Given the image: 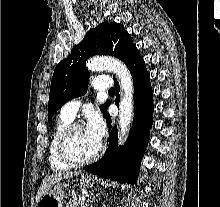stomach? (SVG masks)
<instances>
[{
  "label": "stomach",
  "instance_id": "0dacf381",
  "mask_svg": "<svg viewBox=\"0 0 220 207\" xmlns=\"http://www.w3.org/2000/svg\"><path fill=\"white\" fill-rule=\"evenodd\" d=\"M80 184L85 188H89L92 187L94 181L90 176L83 175L80 178ZM64 196V186L58 183L41 197V199L37 202L36 207H63Z\"/></svg>",
  "mask_w": 220,
  "mask_h": 207
}]
</instances>
